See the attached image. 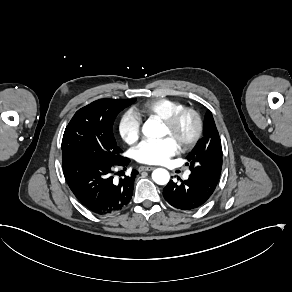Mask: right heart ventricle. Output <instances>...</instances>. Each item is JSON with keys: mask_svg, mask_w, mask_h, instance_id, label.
Returning a JSON list of instances; mask_svg holds the SVG:
<instances>
[{"mask_svg": "<svg viewBox=\"0 0 292 292\" xmlns=\"http://www.w3.org/2000/svg\"><path fill=\"white\" fill-rule=\"evenodd\" d=\"M182 107L183 105L179 101L167 97H160L146 100L140 105L139 111L143 115H156L164 120Z\"/></svg>", "mask_w": 292, "mask_h": 292, "instance_id": "1", "label": "right heart ventricle"}]
</instances>
